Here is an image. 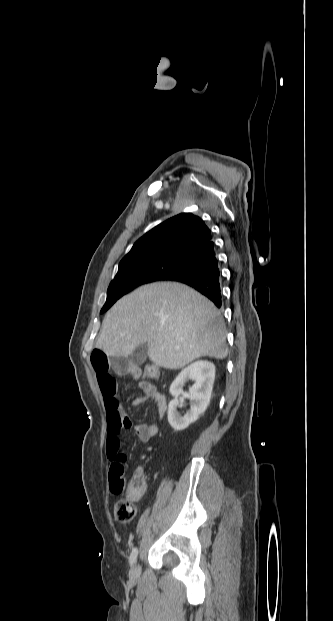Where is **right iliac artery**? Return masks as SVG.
Here are the masks:
<instances>
[{"instance_id": "right-iliac-artery-1", "label": "right iliac artery", "mask_w": 333, "mask_h": 621, "mask_svg": "<svg viewBox=\"0 0 333 621\" xmlns=\"http://www.w3.org/2000/svg\"><path fill=\"white\" fill-rule=\"evenodd\" d=\"M137 555H138V549L134 548L130 554V560H129L130 565H133L135 563Z\"/></svg>"}]
</instances>
